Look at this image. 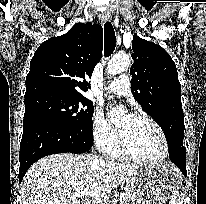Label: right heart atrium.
I'll use <instances>...</instances> for the list:
<instances>
[{"label":"right heart atrium","mask_w":206,"mask_h":204,"mask_svg":"<svg viewBox=\"0 0 206 204\" xmlns=\"http://www.w3.org/2000/svg\"><path fill=\"white\" fill-rule=\"evenodd\" d=\"M92 136L97 147L105 153H107L118 141V134L115 128L100 111H97L93 116Z\"/></svg>","instance_id":"d8ad5b80"}]
</instances>
